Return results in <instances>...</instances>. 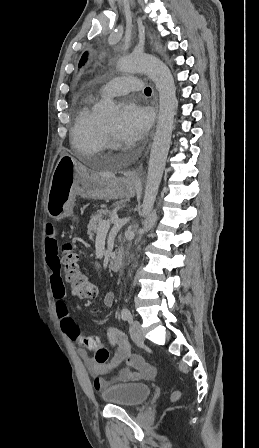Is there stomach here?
<instances>
[{
    "mask_svg": "<svg viewBox=\"0 0 259 448\" xmlns=\"http://www.w3.org/2000/svg\"><path fill=\"white\" fill-rule=\"evenodd\" d=\"M76 160L68 154L59 158L55 170L52 174L49 192L46 202L47 214L50 218L60 220L70 214V219H76V209L73 206L68 207L69 202L75 198V168Z\"/></svg>",
    "mask_w": 259,
    "mask_h": 448,
    "instance_id": "0dacf381",
    "label": "stomach"
}]
</instances>
